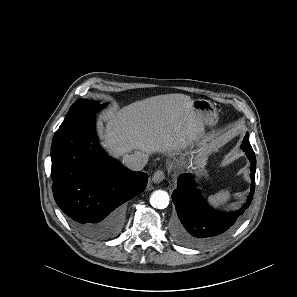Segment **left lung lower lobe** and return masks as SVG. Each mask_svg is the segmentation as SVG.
Listing matches in <instances>:
<instances>
[{
	"label": "left lung lower lobe",
	"mask_w": 297,
	"mask_h": 297,
	"mask_svg": "<svg viewBox=\"0 0 297 297\" xmlns=\"http://www.w3.org/2000/svg\"><path fill=\"white\" fill-rule=\"evenodd\" d=\"M251 162V188L244 205L234 212H219L206 203L196 189L193 176L182 174L172 194L179 221L173 226L175 242L187 247H201L214 243L226 235L241 220L250 206L255 189L256 158L253 150L243 148Z\"/></svg>",
	"instance_id": "1"
}]
</instances>
